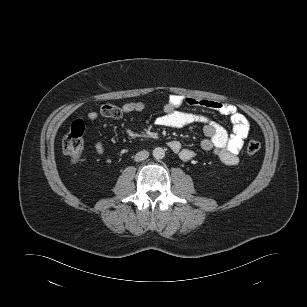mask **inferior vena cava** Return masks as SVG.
Returning <instances> with one entry per match:
<instances>
[{
    "mask_svg": "<svg viewBox=\"0 0 307 307\" xmlns=\"http://www.w3.org/2000/svg\"><path fill=\"white\" fill-rule=\"evenodd\" d=\"M149 156V152L148 151H139L138 153H136L135 157H134V160L136 162H140V161H143L145 159H147Z\"/></svg>",
    "mask_w": 307,
    "mask_h": 307,
    "instance_id": "602c4592",
    "label": "inferior vena cava"
}]
</instances>
